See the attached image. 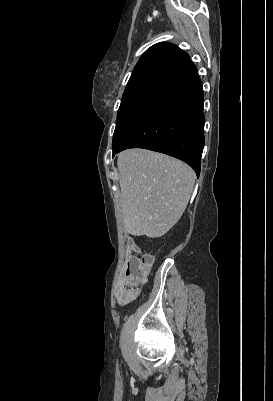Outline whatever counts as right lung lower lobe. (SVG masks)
Masks as SVG:
<instances>
[{
    "instance_id": "98d812e1",
    "label": "right lung lower lobe",
    "mask_w": 273,
    "mask_h": 401,
    "mask_svg": "<svg viewBox=\"0 0 273 401\" xmlns=\"http://www.w3.org/2000/svg\"><path fill=\"white\" fill-rule=\"evenodd\" d=\"M203 102L202 82L198 77L168 95L126 141L113 151V157L128 148H145L186 162L199 176L204 147Z\"/></svg>"
}]
</instances>
